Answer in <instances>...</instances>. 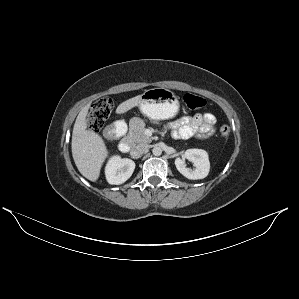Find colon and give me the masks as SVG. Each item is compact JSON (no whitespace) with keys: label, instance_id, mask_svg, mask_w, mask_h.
<instances>
[{"label":"colon","instance_id":"5ec220e1","mask_svg":"<svg viewBox=\"0 0 299 299\" xmlns=\"http://www.w3.org/2000/svg\"><path fill=\"white\" fill-rule=\"evenodd\" d=\"M183 102L190 110L201 109L206 104L204 98L192 93H186L183 96ZM113 106V100L108 96L100 98L93 104L87 119L88 129L91 132L97 133L102 129L105 121L108 119L113 110ZM230 131L231 130L228 125H222L220 127V134L222 136H228Z\"/></svg>","mask_w":299,"mask_h":299}]
</instances>
